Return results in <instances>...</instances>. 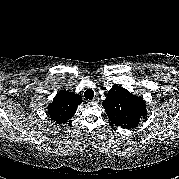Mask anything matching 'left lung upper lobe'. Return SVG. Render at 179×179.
Listing matches in <instances>:
<instances>
[{
    "instance_id": "5c2ea615",
    "label": "left lung upper lobe",
    "mask_w": 179,
    "mask_h": 179,
    "mask_svg": "<svg viewBox=\"0 0 179 179\" xmlns=\"http://www.w3.org/2000/svg\"><path fill=\"white\" fill-rule=\"evenodd\" d=\"M102 105L110 121L123 129L136 128L147 114L143 98L118 85L112 86Z\"/></svg>"
}]
</instances>
